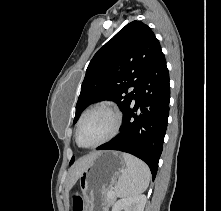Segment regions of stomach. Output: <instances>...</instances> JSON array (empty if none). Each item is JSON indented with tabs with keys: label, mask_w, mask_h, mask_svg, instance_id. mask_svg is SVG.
Instances as JSON below:
<instances>
[{
	"label": "stomach",
	"mask_w": 221,
	"mask_h": 211,
	"mask_svg": "<svg viewBox=\"0 0 221 211\" xmlns=\"http://www.w3.org/2000/svg\"><path fill=\"white\" fill-rule=\"evenodd\" d=\"M125 168L126 163L120 152H97L79 177L80 188L86 202L85 211H88L99 198L105 202L107 190L112 187Z\"/></svg>",
	"instance_id": "obj_1"
}]
</instances>
